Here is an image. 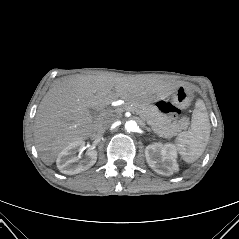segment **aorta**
Wrapping results in <instances>:
<instances>
[{
    "label": "aorta",
    "mask_w": 239,
    "mask_h": 239,
    "mask_svg": "<svg viewBox=\"0 0 239 239\" xmlns=\"http://www.w3.org/2000/svg\"><path fill=\"white\" fill-rule=\"evenodd\" d=\"M138 129L137 122L134 120H128L125 123V130L127 132H135Z\"/></svg>",
    "instance_id": "obj_1"
}]
</instances>
